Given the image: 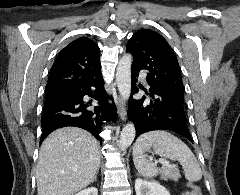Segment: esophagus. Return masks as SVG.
Returning <instances> with one entry per match:
<instances>
[{
    "instance_id": "34e87169",
    "label": "esophagus",
    "mask_w": 240,
    "mask_h": 195,
    "mask_svg": "<svg viewBox=\"0 0 240 195\" xmlns=\"http://www.w3.org/2000/svg\"><path fill=\"white\" fill-rule=\"evenodd\" d=\"M118 113L122 121L126 119V102L122 97H118Z\"/></svg>"
}]
</instances>
